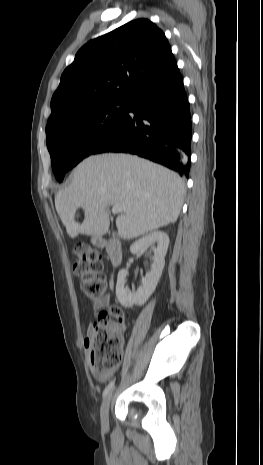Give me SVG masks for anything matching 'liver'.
<instances>
[{"label":"liver","mask_w":263,"mask_h":465,"mask_svg":"<svg viewBox=\"0 0 263 465\" xmlns=\"http://www.w3.org/2000/svg\"><path fill=\"white\" fill-rule=\"evenodd\" d=\"M185 184L173 171L140 157L105 153L79 163L71 183L55 196L56 211L71 238L102 236L109 230L107 207L122 205L116 219L120 238L130 240L176 222ZM84 221H75L78 208Z\"/></svg>","instance_id":"liver-1"}]
</instances>
